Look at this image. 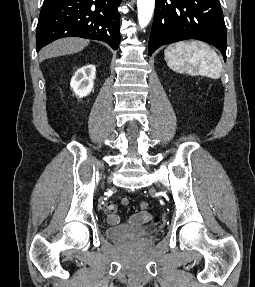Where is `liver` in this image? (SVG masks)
Returning <instances> with one entry per match:
<instances>
[{
    "mask_svg": "<svg viewBox=\"0 0 255 287\" xmlns=\"http://www.w3.org/2000/svg\"><path fill=\"white\" fill-rule=\"evenodd\" d=\"M88 44L89 40H82V38H62V40H56L53 44L43 48L39 54L40 60L67 56V54H77V52L84 50Z\"/></svg>",
    "mask_w": 255,
    "mask_h": 287,
    "instance_id": "obj_1",
    "label": "liver"
}]
</instances>
